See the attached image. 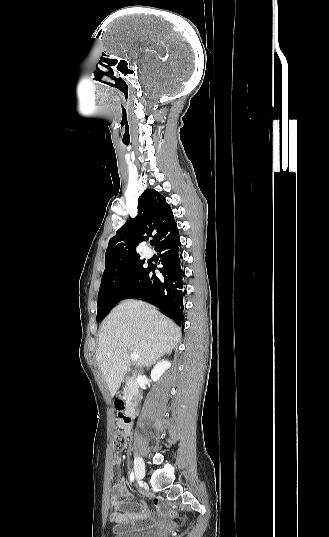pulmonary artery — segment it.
Instances as JSON below:
<instances>
[{
	"mask_svg": "<svg viewBox=\"0 0 329 537\" xmlns=\"http://www.w3.org/2000/svg\"><path fill=\"white\" fill-rule=\"evenodd\" d=\"M144 254H145L146 257H151V256H152V251L149 250V249H146V250L144 251Z\"/></svg>",
	"mask_w": 329,
	"mask_h": 537,
	"instance_id": "e3ab8cb5",
	"label": "pulmonary artery"
}]
</instances>
